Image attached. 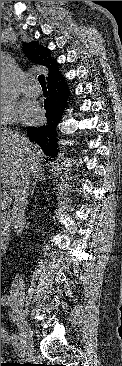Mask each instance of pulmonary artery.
Here are the masks:
<instances>
[{
    "label": "pulmonary artery",
    "instance_id": "e3ab8cb5",
    "mask_svg": "<svg viewBox=\"0 0 122 366\" xmlns=\"http://www.w3.org/2000/svg\"><path fill=\"white\" fill-rule=\"evenodd\" d=\"M23 93L31 96H38L41 94L40 87L32 80H26L22 85Z\"/></svg>",
    "mask_w": 122,
    "mask_h": 366
}]
</instances>
